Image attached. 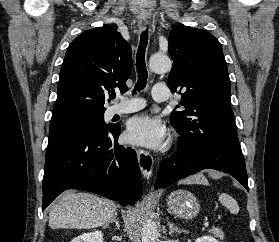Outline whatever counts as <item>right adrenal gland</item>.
Segmentation results:
<instances>
[{
    "label": "right adrenal gland",
    "mask_w": 279,
    "mask_h": 242,
    "mask_svg": "<svg viewBox=\"0 0 279 242\" xmlns=\"http://www.w3.org/2000/svg\"><path fill=\"white\" fill-rule=\"evenodd\" d=\"M117 215H118V214L115 213L114 216L112 217V219H111L110 221H108V222L103 226V228L105 229L106 227L109 226L110 223L115 222L117 229H120V224H119V221H118V219H117Z\"/></svg>",
    "instance_id": "right-adrenal-gland-1"
}]
</instances>
